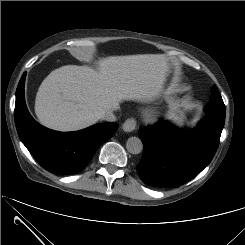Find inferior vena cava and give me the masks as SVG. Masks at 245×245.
<instances>
[{"instance_id": "obj_1", "label": "inferior vena cava", "mask_w": 245, "mask_h": 245, "mask_svg": "<svg viewBox=\"0 0 245 245\" xmlns=\"http://www.w3.org/2000/svg\"><path fill=\"white\" fill-rule=\"evenodd\" d=\"M103 120H106L108 122H114L117 120V116L116 114L114 113V110H108L106 111L102 117H101Z\"/></svg>"}]
</instances>
